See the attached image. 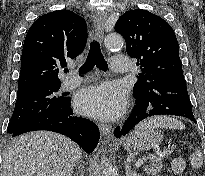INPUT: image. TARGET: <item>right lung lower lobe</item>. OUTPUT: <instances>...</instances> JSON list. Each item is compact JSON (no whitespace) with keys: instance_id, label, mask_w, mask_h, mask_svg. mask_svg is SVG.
<instances>
[{"instance_id":"right-lung-lower-lobe-1","label":"right lung lower lobe","mask_w":205,"mask_h":176,"mask_svg":"<svg viewBox=\"0 0 205 176\" xmlns=\"http://www.w3.org/2000/svg\"><path fill=\"white\" fill-rule=\"evenodd\" d=\"M35 130H48L66 135L87 153L93 152L100 138L95 124L88 119L73 116L68 97L63 103L52 104L41 111L21 128L11 133V136Z\"/></svg>"}]
</instances>
